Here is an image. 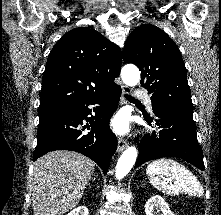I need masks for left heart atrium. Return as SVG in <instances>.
Returning a JSON list of instances; mask_svg holds the SVG:
<instances>
[{
    "label": "left heart atrium",
    "instance_id": "39dd6f15",
    "mask_svg": "<svg viewBox=\"0 0 221 215\" xmlns=\"http://www.w3.org/2000/svg\"><path fill=\"white\" fill-rule=\"evenodd\" d=\"M112 127L117 133H125L128 130V120L124 114H118L112 121Z\"/></svg>",
    "mask_w": 221,
    "mask_h": 215
}]
</instances>
